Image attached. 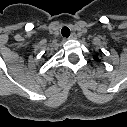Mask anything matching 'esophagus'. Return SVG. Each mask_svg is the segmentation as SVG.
Wrapping results in <instances>:
<instances>
[{"instance_id":"34e87169","label":"esophagus","mask_w":127,"mask_h":127,"mask_svg":"<svg viewBox=\"0 0 127 127\" xmlns=\"http://www.w3.org/2000/svg\"><path fill=\"white\" fill-rule=\"evenodd\" d=\"M77 38V35L75 33H72L68 39L74 40Z\"/></svg>"}]
</instances>
